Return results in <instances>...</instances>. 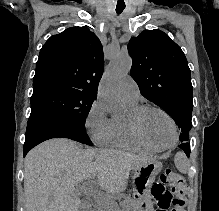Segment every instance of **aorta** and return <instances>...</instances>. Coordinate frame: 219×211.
Masks as SVG:
<instances>
[{"label":"aorta","mask_w":219,"mask_h":211,"mask_svg":"<svg viewBox=\"0 0 219 211\" xmlns=\"http://www.w3.org/2000/svg\"><path fill=\"white\" fill-rule=\"evenodd\" d=\"M131 66L132 60L128 55H119L109 63L104 73L98 95L106 110L112 115H119L123 111L119 100V84Z\"/></svg>","instance_id":"aorta-1"}]
</instances>
